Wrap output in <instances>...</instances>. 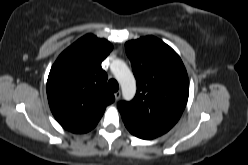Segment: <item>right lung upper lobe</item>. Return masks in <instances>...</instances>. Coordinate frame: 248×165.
Masks as SVG:
<instances>
[{
	"mask_svg": "<svg viewBox=\"0 0 248 165\" xmlns=\"http://www.w3.org/2000/svg\"><path fill=\"white\" fill-rule=\"evenodd\" d=\"M112 48L107 40L88 34L63 51L52 66L47 80L48 101L54 117L66 130L90 131L106 106L114 102L101 67Z\"/></svg>",
	"mask_w": 248,
	"mask_h": 165,
	"instance_id": "obj_1",
	"label": "right lung upper lobe"
}]
</instances>
